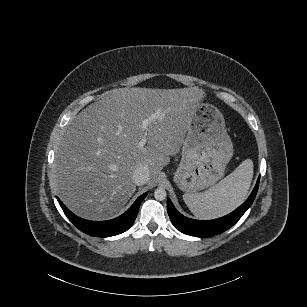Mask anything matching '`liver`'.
<instances>
[{
	"instance_id": "liver-1",
	"label": "liver",
	"mask_w": 307,
	"mask_h": 307,
	"mask_svg": "<svg viewBox=\"0 0 307 307\" xmlns=\"http://www.w3.org/2000/svg\"><path fill=\"white\" fill-rule=\"evenodd\" d=\"M203 97L198 87H125L82 110L67 126L53 163L55 189L64 204L89 220L119 212L136 190L135 169L147 165L154 180L179 152ZM157 110L165 116L143 129L142 120ZM146 133L147 147L138 148Z\"/></svg>"
}]
</instances>
